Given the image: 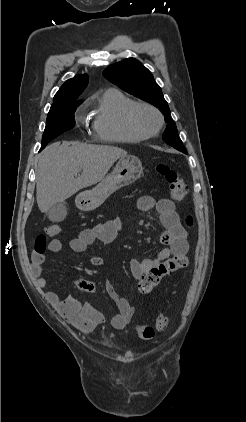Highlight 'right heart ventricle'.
<instances>
[{"mask_svg": "<svg viewBox=\"0 0 246 422\" xmlns=\"http://www.w3.org/2000/svg\"><path fill=\"white\" fill-rule=\"evenodd\" d=\"M135 103L118 89L109 88L97 98L92 128L95 136L105 142L136 143L144 138L135 134L126 121L127 110Z\"/></svg>", "mask_w": 246, "mask_h": 422, "instance_id": "1", "label": "right heart ventricle"}]
</instances>
